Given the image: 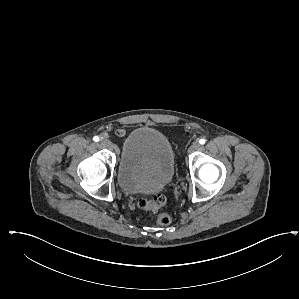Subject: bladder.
<instances>
[{
	"mask_svg": "<svg viewBox=\"0 0 299 299\" xmlns=\"http://www.w3.org/2000/svg\"><path fill=\"white\" fill-rule=\"evenodd\" d=\"M174 174V149L162 132L138 127L126 136L117 170L123 190L155 193L167 186Z\"/></svg>",
	"mask_w": 299,
	"mask_h": 299,
	"instance_id": "31cf9c89",
	"label": "bladder"
}]
</instances>
